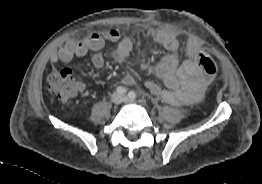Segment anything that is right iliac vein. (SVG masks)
<instances>
[{
    "label": "right iliac vein",
    "mask_w": 262,
    "mask_h": 184,
    "mask_svg": "<svg viewBox=\"0 0 262 184\" xmlns=\"http://www.w3.org/2000/svg\"><path fill=\"white\" fill-rule=\"evenodd\" d=\"M111 100L114 104H120L122 101V96L119 93H114L111 97Z\"/></svg>",
    "instance_id": "right-iliac-vein-1"
}]
</instances>
